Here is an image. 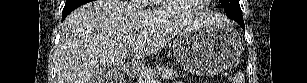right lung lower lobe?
I'll list each match as a JSON object with an SVG mask.
<instances>
[{"mask_svg":"<svg viewBox=\"0 0 307 83\" xmlns=\"http://www.w3.org/2000/svg\"><path fill=\"white\" fill-rule=\"evenodd\" d=\"M90 0H68L66 1L65 7L62 13V20L75 8L79 7L82 4L88 3Z\"/></svg>","mask_w":307,"mask_h":83,"instance_id":"obj_1","label":"right lung lower lobe"}]
</instances>
